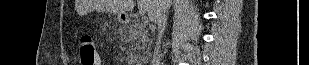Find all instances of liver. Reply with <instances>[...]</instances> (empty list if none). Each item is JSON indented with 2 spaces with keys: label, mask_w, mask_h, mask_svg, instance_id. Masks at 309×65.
<instances>
[{
  "label": "liver",
  "mask_w": 309,
  "mask_h": 65,
  "mask_svg": "<svg viewBox=\"0 0 309 65\" xmlns=\"http://www.w3.org/2000/svg\"><path fill=\"white\" fill-rule=\"evenodd\" d=\"M137 5L139 12L147 13L154 23H157L164 9L163 0H137ZM134 6V0H81L78 8L80 13L97 10L121 15Z\"/></svg>",
  "instance_id": "1"
}]
</instances>
